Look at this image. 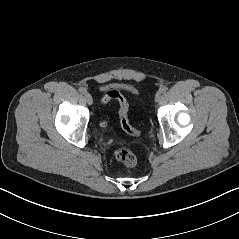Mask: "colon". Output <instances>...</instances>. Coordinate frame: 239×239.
I'll return each mask as SVG.
<instances>
[{
    "instance_id": "5ec220e1",
    "label": "colon",
    "mask_w": 239,
    "mask_h": 239,
    "mask_svg": "<svg viewBox=\"0 0 239 239\" xmlns=\"http://www.w3.org/2000/svg\"><path fill=\"white\" fill-rule=\"evenodd\" d=\"M107 97L110 99H116L119 103V114H120V122L122 128L131 135H139L141 131L133 127L128 119V104L124 97L120 95L119 92L115 90H111L107 92ZM116 160L128 167L135 166L137 163L136 155L127 148H119L115 151Z\"/></svg>"
}]
</instances>
